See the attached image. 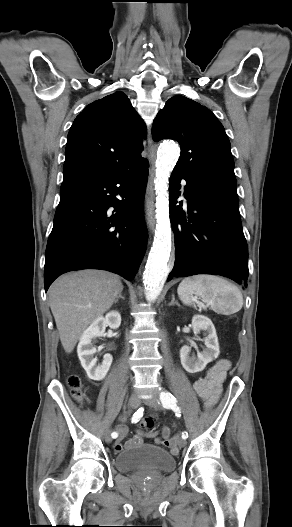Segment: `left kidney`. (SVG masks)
<instances>
[{"label": "left kidney", "mask_w": 292, "mask_h": 527, "mask_svg": "<svg viewBox=\"0 0 292 527\" xmlns=\"http://www.w3.org/2000/svg\"><path fill=\"white\" fill-rule=\"evenodd\" d=\"M192 327L195 334L203 331L206 335L204 344L206 348L197 353L196 357H190V347L185 345L180 350V359L183 368L189 373H197L206 367V365L216 359L220 353L216 329L212 321L203 315H194L192 318Z\"/></svg>", "instance_id": "obj_1"}]
</instances>
